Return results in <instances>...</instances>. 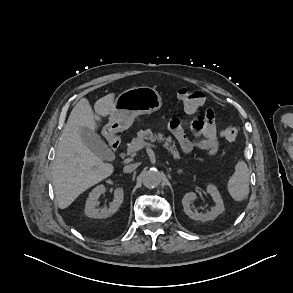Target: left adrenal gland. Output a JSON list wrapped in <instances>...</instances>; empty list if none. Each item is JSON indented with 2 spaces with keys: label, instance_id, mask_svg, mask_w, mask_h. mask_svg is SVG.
<instances>
[{
  "label": "left adrenal gland",
  "instance_id": "obj_1",
  "mask_svg": "<svg viewBox=\"0 0 293 293\" xmlns=\"http://www.w3.org/2000/svg\"><path fill=\"white\" fill-rule=\"evenodd\" d=\"M182 172H183V170H178V171H177L178 174H180V173H182Z\"/></svg>",
  "mask_w": 293,
  "mask_h": 293
}]
</instances>
